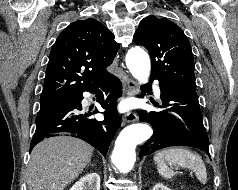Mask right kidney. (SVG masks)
I'll return each instance as SVG.
<instances>
[{
  "label": "right kidney",
  "instance_id": "right-kidney-1",
  "mask_svg": "<svg viewBox=\"0 0 238 190\" xmlns=\"http://www.w3.org/2000/svg\"><path fill=\"white\" fill-rule=\"evenodd\" d=\"M70 190H100V176L94 172L86 174Z\"/></svg>",
  "mask_w": 238,
  "mask_h": 190
}]
</instances>
